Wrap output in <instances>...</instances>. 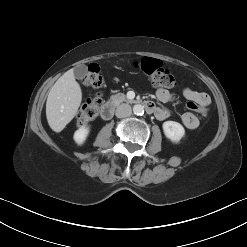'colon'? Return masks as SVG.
I'll use <instances>...</instances> for the list:
<instances>
[{"instance_id":"colon-1","label":"colon","mask_w":247,"mask_h":247,"mask_svg":"<svg viewBox=\"0 0 247 247\" xmlns=\"http://www.w3.org/2000/svg\"><path fill=\"white\" fill-rule=\"evenodd\" d=\"M136 67L140 69L155 85L160 88H173L176 85V79L172 73L166 69L159 59L144 57L142 60L136 63ZM82 83L90 88H100L103 84V77L101 75L100 68L97 64L91 63L88 66L86 75L82 79ZM102 107V99L99 94H95L90 97L84 105L81 107L78 116L77 123L82 126L86 125L93 119H95ZM188 109L198 112L206 116L209 109L205 106L198 105L196 103H188Z\"/></svg>"}]
</instances>
